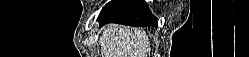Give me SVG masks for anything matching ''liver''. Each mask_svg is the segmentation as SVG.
<instances>
[{
    "mask_svg": "<svg viewBox=\"0 0 249 57\" xmlns=\"http://www.w3.org/2000/svg\"><path fill=\"white\" fill-rule=\"evenodd\" d=\"M102 57H149V39L135 27L107 25L100 37Z\"/></svg>",
    "mask_w": 249,
    "mask_h": 57,
    "instance_id": "6515ba94",
    "label": "liver"
}]
</instances>
